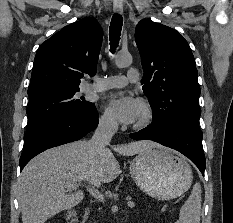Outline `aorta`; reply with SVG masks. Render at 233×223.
Instances as JSON below:
<instances>
[{"label":"aorta","mask_w":233,"mask_h":223,"mask_svg":"<svg viewBox=\"0 0 233 223\" xmlns=\"http://www.w3.org/2000/svg\"><path fill=\"white\" fill-rule=\"evenodd\" d=\"M117 68H128L132 64V56H117L115 60Z\"/></svg>","instance_id":"1"}]
</instances>
